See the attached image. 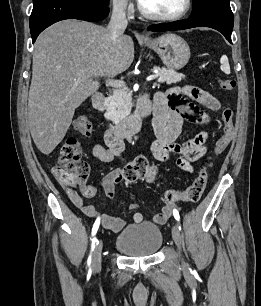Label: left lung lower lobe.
Here are the masks:
<instances>
[{"label": "left lung lower lobe", "mask_w": 261, "mask_h": 306, "mask_svg": "<svg viewBox=\"0 0 261 306\" xmlns=\"http://www.w3.org/2000/svg\"><path fill=\"white\" fill-rule=\"evenodd\" d=\"M233 14L214 17H190L187 20L170 23L155 24L148 27L151 31L183 30L194 27H210L221 32L231 43V33L233 30Z\"/></svg>", "instance_id": "left-lung-lower-lobe-1"}]
</instances>
